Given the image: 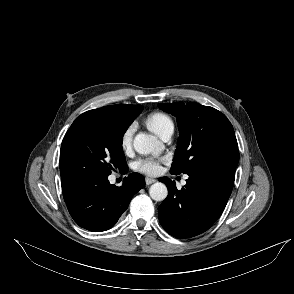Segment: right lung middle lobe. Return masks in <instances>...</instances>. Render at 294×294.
Segmentation results:
<instances>
[{"mask_svg":"<svg viewBox=\"0 0 294 294\" xmlns=\"http://www.w3.org/2000/svg\"><path fill=\"white\" fill-rule=\"evenodd\" d=\"M130 125L100 112L77 117L61 145V182L108 177L114 168L127 167L122 140Z\"/></svg>","mask_w":294,"mask_h":294,"instance_id":"right-lung-middle-lobe-1","label":"right lung middle lobe"}]
</instances>
